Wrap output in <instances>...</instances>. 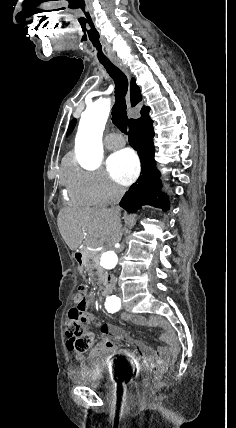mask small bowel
Here are the masks:
<instances>
[{"label": "small bowel", "instance_id": "small-bowel-1", "mask_svg": "<svg viewBox=\"0 0 236 428\" xmlns=\"http://www.w3.org/2000/svg\"><path fill=\"white\" fill-rule=\"evenodd\" d=\"M121 319L139 326L161 328L163 330L162 340L165 342L166 346L154 351L143 343L135 342L134 345L138 354L126 349H119L112 338L128 340L127 335L117 327L103 324L100 328L102 340L97 343L90 352V358L92 360L111 359L116 355H121L133 366L140 367L141 365H145L147 367L156 368L162 366L170 356L178 350L175 330L164 318L136 317L128 313H122ZM75 358L79 362L84 361V357L81 354H76Z\"/></svg>", "mask_w": 236, "mask_h": 428}]
</instances>
